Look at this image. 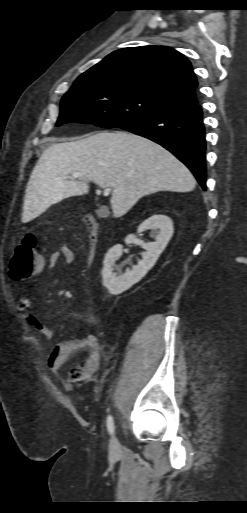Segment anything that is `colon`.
<instances>
[{"label":"colon","instance_id":"colon-1","mask_svg":"<svg viewBox=\"0 0 247 513\" xmlns=\"http://www.w3.org/2000/svg\"><path fill=\"white\" fill-rule=\"evenodd\" d=\"M35 246L36 241L32 235H27L17 245L9 268L12 280L28 279L41 270L42 263L36 255Z\"/></svg>","mask_w":247,"mask_h":513}]
</instances>
